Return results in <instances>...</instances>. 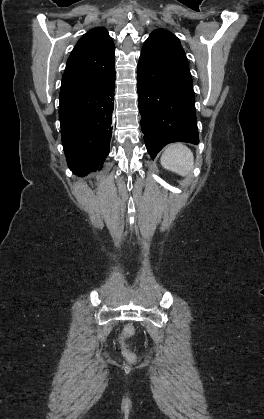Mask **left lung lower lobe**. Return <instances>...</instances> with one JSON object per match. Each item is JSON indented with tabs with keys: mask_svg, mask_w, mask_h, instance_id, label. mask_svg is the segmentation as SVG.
<instances>
[{
	"mask_svg": "<svg viewBox=\"0 0 264 419\" xmlns=\"http://www.w3.org/2000/svg\"><path fill=\"white\" fill-rule=\"evenodd\" d=\"M137 89L141 129L152 159L169 143H199L189 65L171 36L151 34L145 41Z\"/></svg>",
	"mask_w": 264,
	"mask_h": 419,
	"instance_id": "left-lung-lower-lobe-1",
	"label": "left lung lower lobe"
}]
</instances>
